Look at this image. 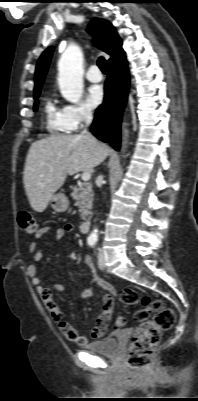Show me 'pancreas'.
Masks as SVG:
<instances>
[{"label": "pancreas", "instance_id": "1", "mask_svg": "<svg viewBox=\"0 0 198 401\" xmlns=\"http://www.w3.org/2000/svg\"><path fill=\"white\" fill-rule=\"evenodd\" d=\"M93 196L94 193L90 183H82L73 187L71 197L79 206L80 217L83 220L91 214Z\"/></svg>", "mask_w": 198, "mask_h": 401}]
</instances>
